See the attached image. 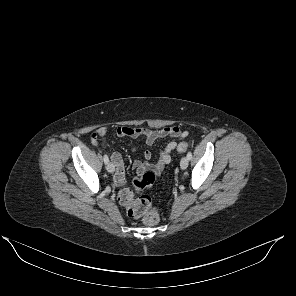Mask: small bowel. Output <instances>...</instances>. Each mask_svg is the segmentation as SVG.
Returning <instances> with one entry per match:
<instances>
[{
    "mask_svg": "<svg viewBox=\"0 0 296 296\" xmlns=\"http://www.w3.org/2000/svg\"><path fill=\"white\" fill-rule=\"evenodd\" d=\"M108 133L107 127H101L91 135V142L94 146H106L105 136ZM116 134L120 137L143 138L147 145H153L157 140L163 138L183 139L188 135V132L182 130L178 126H169L161 129L148 128H131L120 126L116 129ZM177 143L169 142L166 147L159 151L158 158L155 162H151L152 154L146 150L143 153L144 160H135L133 168L138 174L147 170H151L156 174H160L163 169L171 161V153L176 149ZM110 158L115 164L116 171L113 176V182L116 186H122L125 183V166L122 156L117 152L110 153Z\"/></svg>",
    "mask_w": 296,
    "mask_h": 296,
    "instance_id": "small-bowel-1",
    "label": "small bowel"
}]
</instances>
